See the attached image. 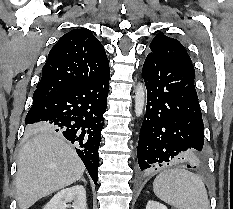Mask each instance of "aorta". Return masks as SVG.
I'll return each mask as SVG.
<instances>
[{"mask_svg": "<svg viewBox=\"0 0 233 209\" xmlns=\"http://www.w3.org/2000/svg\"><path fill=\"white\" fill-rule=\"evenodd\" d=\"M146 88L144 83H138L135 90V114L140 117L145 105Z\"/></svg>", "mask_w": 233, "mask_h": 209, "instance_id": "762f6f07", "label": "aorta"}]
</instances>
